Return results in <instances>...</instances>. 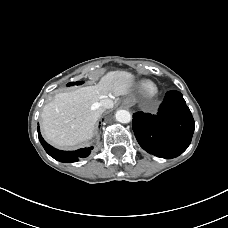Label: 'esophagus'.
<instances>
[{"instance_id":"34e87169","label":"esophagus","mask_w":228,"mask_h":228,"mask_svg":"<svg viewBox=\"0 0 228 228\" xmlns=\"http://www.w3.org/2000/svg\"><path fill=\"white\" fill-rule=\"evenodd\" d=\"M123 103L127 106L130 107L132 105V100L130 98H126L123 100Z\"/></svg>"}]
</instances>
